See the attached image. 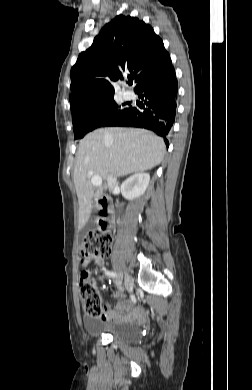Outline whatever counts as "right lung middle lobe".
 <instances>
[{"label": "right lung middle lobe", "mask_w": 252, "mask_h": 390, "mask_svg": "<svg viewBox=\"0 0 252 390\" xmlns=\"http://www.w3.org/2000/svg\"><path fill=\"white\" fill-rule=\"evenodd\" d=\"M113 97L91 101L71 110L75 139L83 138L96 128L107 126L128 110L123 107L127 103L118 105Z\"/></svg>", "instance_id": "1"}]
</instances>
